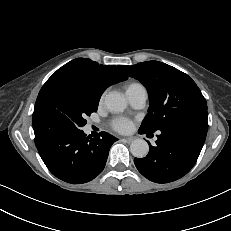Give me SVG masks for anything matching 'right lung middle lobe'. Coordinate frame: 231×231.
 <instances>
[{
    "label": "right lung middle lobe",
    "instance_id": "dd1d6c3e",
    "mask_svg": "<svg viewBox=\"0 0 231 231\" xmlns=\"http://www.w3.org/2000/svg\"><path fill=\"white\" fill-rule=\"evenodd\" d=\"M101 92L86 81L56 84L40 92L33 113L37 137H55L81 130L96 112Z\"/></svg>",
    "mask_w": 231,
    "mask_h": 231
}]
</instances>
